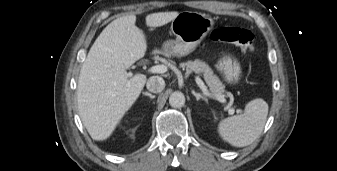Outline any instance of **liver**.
<instances>
[{
    "instance_id": "obj_1",
    "label": "liver",
    "mask_w": 337,
    "mask_h": 171,
    "mask_svg": "<svg viewBox=\"0 0 337 171\" xmlns=\"http://www.w3.org/2000/svg\"><path fill=\"white\" fill-rule=\"evenodd\" d=\"M177 11L146 16L148 27H160L177 17ZM136 16L115 19L100 33L89 50L78 79L77 104L83 125L93 140L107 139L139 97L147 81L143 74L129 77L132 64L144 57L147 42Z\"/></svg>"
}]
</instances>
